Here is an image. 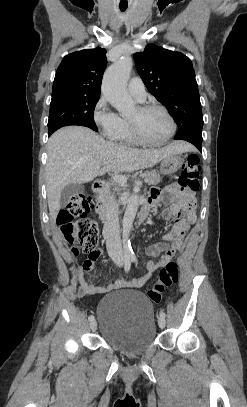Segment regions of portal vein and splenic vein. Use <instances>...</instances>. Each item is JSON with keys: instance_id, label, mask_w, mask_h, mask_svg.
Instances as JSON below:
<instances>
[{"instance_id": "18ae733b", "label": "portal vein and splenic vein", "mask_w": 247, "mask_h": 407, "mask_svg": "<svg viewBox=\"0 0 247 407\" xmlns=\"http://www.w3.org/2000/svg\"><path fill=\"white\" fill-rule=\"evenodd\" d=\"M103 164H104V165H108V164H110V161H105ZM113 180H114L115 182H117V183L124 184V183L127 182V177H126V176H123V175H114V176H113ZM144 181H145V182H148V179L145 178Z\"/></svg>"}]
</instances>
